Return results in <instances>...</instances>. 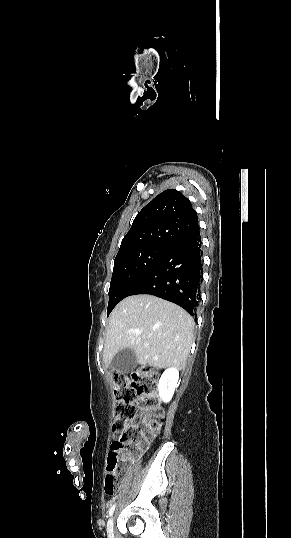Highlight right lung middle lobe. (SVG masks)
<instances>
[{"label": "right lung middle lobe", "mask_w": 291, "mask_h": 538, "mask_svg": "<svg viewBox=\"0 0 291 538\" xmlns=\"http://www.w3.org/2000/svg\"><path fill=\"white\" fill-rule=\"evenodd\" d=\"M170 248L164 245H148L116 256L110 282L107 315L122 299L130 296L132 290Z\"/></svg>", "instance_id": "obj_1"}]
</instances>
